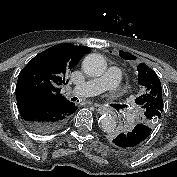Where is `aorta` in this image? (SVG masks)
I'll use <instances>...</instances> for the list:
<instances>
[{"label":"aorta","instance_id":"aorta-1","mask_svg":"<svg viewBox=\"0 0 177 177\" xmlns=\"http://www.w3.org/2000/svg\"><path fill=\"white\" fill-rule=\"evenodd\" d=\"M107 68V63L101 54L92 53L87 55L82 62L83 71L91 76L97 77L102 75ZM100 124L104 132H112L116 128V120L114 116L104 114L100 118Z\"/></svg>","mask_w":177,"mask_h":177}]
</instances>
